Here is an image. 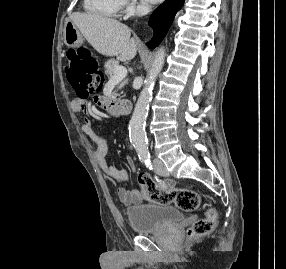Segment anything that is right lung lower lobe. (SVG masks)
I'll return each instance as SVG.
<instances>
[{"label": "right lung lower lobe", "instance_id": "right-lung-lower-lobe-1", "mask_svg": "<svg viewBox=\"0 0 286 269\" xmlns=\"http://www.w3.org/2000/svg\"><path fill=\"white\" fill-rule=\"evenodd\" d=\"M183 3L184 0H167L154 11L149 20V24L154 29V37L147 43L150 48H155L159 45Z\"/></svg>", "mask_w": 286, "mask_h": 269}]
</instances>
